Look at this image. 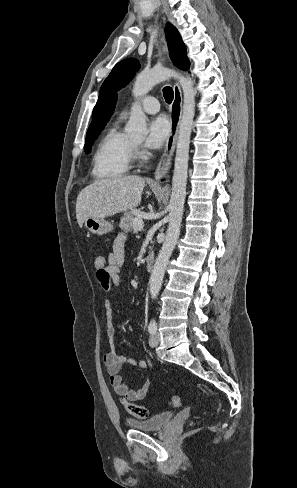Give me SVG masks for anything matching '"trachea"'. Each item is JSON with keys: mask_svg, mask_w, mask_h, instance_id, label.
<instances>
[{"mask_svg": "<svg viewBox=\"0 0 297 488\" xmlns=\"http://www.w3.org/2000/svg\"><path fill=\"white\" fill-rule=\"evenodd\" d=\"M163 96L167 103H171L174 96L172 88L169 86L163 88Z\"/></svg>", "mask_w": 297, "mask_h": 488, "instance_id": "obj_1", "label": "trachea"}]
</instances>
